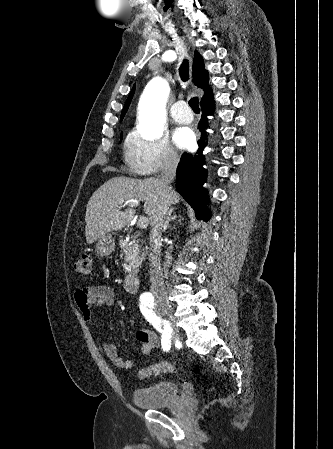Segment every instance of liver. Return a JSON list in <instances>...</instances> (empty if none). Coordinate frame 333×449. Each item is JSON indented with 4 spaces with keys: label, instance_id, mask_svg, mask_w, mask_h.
Listing matches in <instances>:
<instances>
[{
    "label": "liver",
    "instance_id": "obj_1",
    "mask_svg": "<svg viewBox=\"0 0 333 449\" xmlns=\"http://www.w3.org/2000/svg\"><path fill=\"white\" fill-rule=\"evenodd\" d=\"M162 193L161 180H144L114 177L99 187L86 207L85 234L88 244L113 230H119L130 223L135 215L133 209L120 208L130 200L144 202L145 214L152 225L158 211ZM180 195L170 190L169 204H178Z\"/></svg>",
    "mask_w": 333,
    "mask_h": 449
}]
</instances>
